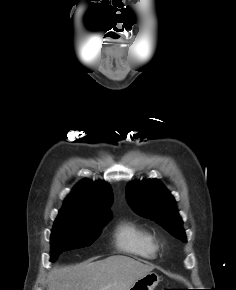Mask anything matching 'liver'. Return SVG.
<instances>
[{
    "label": "liver",
    "instance_id": "liver-1",
    "mask_svg": "<svg viewBox=\"0 0 236 290\" xmlns=\"http://www.w3.org/2000/svg\"><path fill=\"white\" fill-rule=\"evenodd\" d=\"M153 269V265L123 255L54 267L48 274L47 290H129L137 279Z\"/></svg>",
    "mask_w": 236,
    "mask_h": 290
}]
</instances>
